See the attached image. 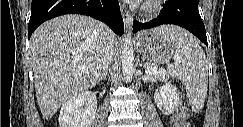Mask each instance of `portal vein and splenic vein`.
<instances>
[{"instance_id":"18ae733b","label":"portal vein and splenic vein","mask_w":243,"mask_h":127,"mask_svg":"<svg viewBox=\"0 0 243 127\" xmlns=\"http://www.w3.org/2000/svg\"><path fill=\"white\" fill-rule=\"evenodd\" d=\"M145 72H146L147 74H153V73H157V72H159L160 74H163V75L166 74L165 71H162V70L157 71L155 68H152V67H150V66H147V67H146Z\"/></svg>"}]
</instances>
